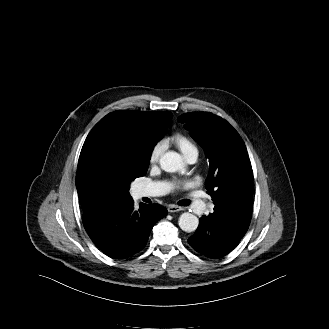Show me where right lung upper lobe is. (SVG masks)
<instances>
[{
  "label": "right lung upper lobe",
  "instance_id": "1",
  "mask_svg": "<svg viewBox=\"0 0 329 329\" xmlns=\"http://www.w3.org/2000/svg\"><path fill=\"white\" fill-rule=\"evenodd\" d=\"M171 117L172 113L169 111L139 112L123 110L106 115L87 136L80 153L78 167L87 163L93 155L100 152V149L110 147L117 137L138 138L160 135L162 129L167 125L169 126ZM79 199L83 210L91 206L80 195Z\"/></svg>",
  "mask_w": 329,
  "mask_h": 329
}]
</instances>
